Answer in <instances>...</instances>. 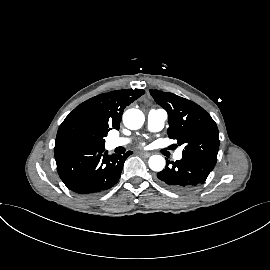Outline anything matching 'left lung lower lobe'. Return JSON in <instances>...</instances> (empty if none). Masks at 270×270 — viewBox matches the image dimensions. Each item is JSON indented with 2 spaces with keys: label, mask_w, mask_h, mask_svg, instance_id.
I'll list each match as a JSON object with an SVG mask.
<instances>
[{
  "label": "left lung lower lobe",
  "mask_w": 270,
  "mask_h": 270,
  "mask_svg": "<svg viewBox=\"0 0 270 270\" xmlns=\"http://www.w3.org/2000/svg\"><path fill=\"white\" fill-rule=\"evenodd\" d=\"M166 168L157 173L160 183L176 192H186L204 183L214 166L191 156H183L181 160H168Z\"/></svg>",
  "instance_id": "left-lung-lower-lobe-1"
}]
</instances>
